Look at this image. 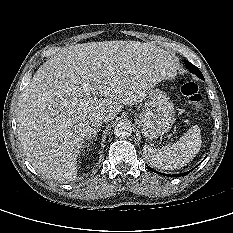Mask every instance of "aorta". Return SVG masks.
<instances>
[{
  "label": "aorta",
  "instance_id": "762f6f07",
  "mask_svg": "<svg viewBox=\"0 0 233 233\" xmlns=\"http://www.w3.org/2000/svg\"><path fill=\"white\" fill-rule=\"evenodd\" d=\"M114 134L121 139L128 138L132 134V127L130 123L126 121H119L114 126Z\"/></svg>",
  "mask_w": 233,
  "mask_h": 233
}]
</instances>
